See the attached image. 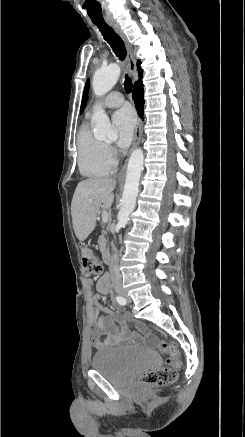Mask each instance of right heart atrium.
<instances>
[{
  "label": "right heart atrium",
  "mask_w": 245,
  "mask_h": 437,
  "mask_svg": "<svg viewBox=\"0 0 245 437\" xmlns=\"http://www.w3.org/2000/svg\"><path fill=\"white\" fill-rule=\"evenodd\" d=\"M107 156L109 160L115 164L116 157H117V151L112 146H106Z\"/></svg>",
  "instance_id": "d8ad5b80"
}]
</instances>
